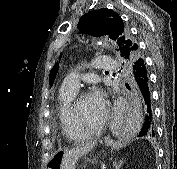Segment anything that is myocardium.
Returning <instances> with one entry per match:
<instances>
[{
	"mask_svg": "<svg viewBox=\"0 0 177 169\" xmlns=\"http://www.w3.org/2000/svg\"><path fill=\"white\" fill-rule=\"evenodd\" d=\"M86 95H88L86 92H81L75 98L73 105H72V114H73L74 122H75L78 132L81 134H84L86 136H89V135L99 134L100 132H102L106 128V126L109 123L110 114H109L108 110H105L104 118L99 125H96V126L86 125L84 123V121L82 120V118L79 114V111H78V104H79L80 100Z\"/></svg>",
	"mask_w": 177,
	"mask_h": 169,
	"instance_id": "f54148a6",
	"label": "myocardium"
}]
</instances>
